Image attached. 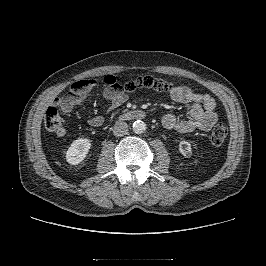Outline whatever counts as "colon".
Instances as JSON below:
<instances>
[{"mask_svg":"<svg viewBox=\"0 0 266 266\" xmlns=\"http://www.w3.org/2000/svg\"><path fill=\"white\" fill-rule=\"evenodd\" d=\"M95 86H102L112 89H117L122 92H132L139 88L153 89L159 92L171 90L172 84L159 77L141 76L125 83H120L114 75H106L102 78L82 79L71 85V92L75 94H83L90 91ZM44 124L48 131L61 133L64 131V122L58 110L55 107H49L46 110ZM228 134L225 125L219 123L215 125L210 134V141L215 146H220L224 143Z\"/></svg>","mask_w":266,"mask_h":266,"instance_id":"colon-1","label":"colon"}]
</instances>
